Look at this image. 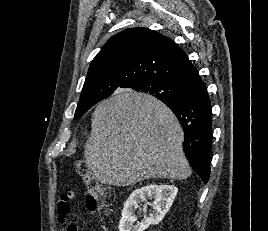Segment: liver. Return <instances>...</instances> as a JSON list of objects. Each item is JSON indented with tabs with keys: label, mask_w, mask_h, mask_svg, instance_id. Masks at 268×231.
Wrapping results in <instances>:
<instances>
[{
	"label": "liver",
	"mask_w": 268,
	"mask_h": 231,
	"mask_svg": "<svg viewBox=\"0 0 268 231\" xmlns=\"http://www.w3.org/2000/svg\"><path fill=\"white\" fill-rule=\"evenodd\" d=\"M84 146L87 166L107 185L150 178L184 180L192 171L183 152V130L160 100L120 90L99 103Z\"/></svg>",
	"instance_id": "obj_1"
}]
</instances>
